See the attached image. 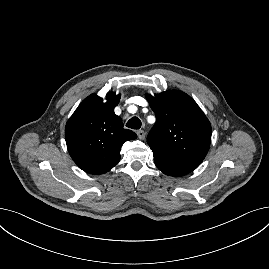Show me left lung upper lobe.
<instances>
[{
  "label": "left lung upper lobe",
  "instance_id": "1",
  "mask_svg": "<svg viewBox=\"0 0 269 269\" xmlns=\"http://www.w3.org/2000/svg\"><path fill=\"white\" fill-rule=\"evenodd\" d=\"M156 115L147 142L163 162L200 164L211 143V125L196 102L181 91L146 95Z\"/></svg>",
  "mask_w": 269,
  "mask_h": 269
}]
</instances>
